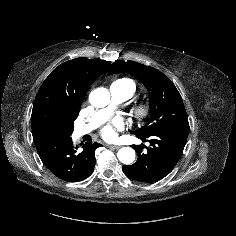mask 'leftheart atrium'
Returning a JSON list of instances; mask_svg holds the SVG:
<instances>
[{
  "label": "left heart atrium",
  "instance_id": "left-heart-atrium-1",
  "mask_svg": "<svg viewBox=\"0 0 236 236\" xmlns=\"http://www.w3.org/2000/svg\"><path fill=\"white\" fill-rule=\"evenodd\" d=\"M123 126V121L120 118H114L110 123L102 128L101 135L105 140H114L117 136L116 131L121 130Z\"/></svg>",
  "mask_w": 236,
  "mask_h": 236
}]
</instances>
